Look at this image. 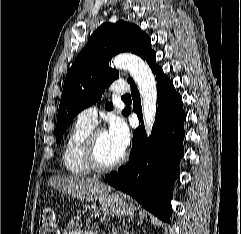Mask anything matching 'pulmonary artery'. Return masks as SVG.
<instances>
[{
	"instance_id": "pulmonary-artery-1",
	"label": "pulmonary artery",
	"mask_w": 241,
	"mask_h": 234,
	"mask_svg": "<svg viewBox=\"0 0 241 234\" xmlns=\"http://www.w3.org/2000/svg\"><path fill=\"white\" fill-rule=\"evenodd\" d=\"M110 90L115 95H126L129 88L125 83L117 82L111 86ZM97 113V106L87 107L78 114L77 120L95 126L97 123Z\"/></svg>"
}]
</instances>
